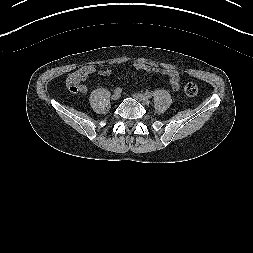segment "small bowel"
<instances>
[{
    "label": "small bowel",
    "instance_id": "1",
    "mask_svg": "<svg viewBox=\"0 0 253 253\" xmlns=\"http://www.w3.org/2000/svg\"><path fill=\"white\" fill-rule=\"evenodd\" d=\"M132 67L135 69H143L145 71H154L155 68H152L149 65L140 63V62H134L132 63ZM85 68L88 70L89 73L94 72L95 68L92 65H87L85 66ZM158 72L162 73L163 75H165L169 81V83L172 86L173 90H178L180 87V79H179V75L178 73L173 70V69H157ZM110 73V70L106 69V70H101L99 72L100 75L102 76H106ZM81 93L85 94L87 92V86L84 84L80 85V90Z\"/></svg>",
    "mask_w": 253,
    "mask_h": 253
}]
</instances>
